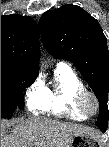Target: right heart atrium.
I'll use <instances>...</instances> for the list:
<instances>
[{
    "instance_id": "right-heart-atrium-1",
    "label": "right heart atrium",
    "mask_w": 109,
    "mask_h": 147,
    "mask_svg": "<svg viewBox=\"0 0 109 147\" xmlns=\"http://www.w3.org/2000/svg\"><path fill=\"white\" fill-rule=\"evenodd\" d=\"M42 88L40 84H36L33 91L28 95V102L36 99H40L42 96Z\"/></svg>"
}]
</instances>
